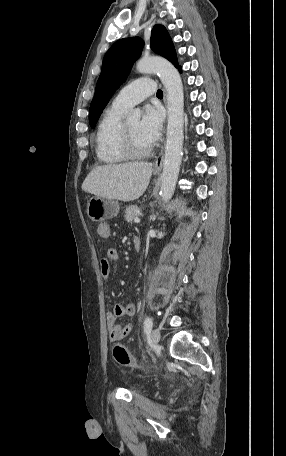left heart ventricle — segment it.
<instances>
[{
	"instance_id": "b2bd125f",
	"label": "left heart ventricle",
	"mask_w": 286,
	"mask_h": 456,
	"mask_svg": "<svg viewBox=\"0 0 286 456\" xmlns=\"http://www.w3.org/2000/svg\"><path fill=\"white\" fill-rule=\"evenodd\" d=\"M128 131L131 135L134 147L137 151H143L150 147L152 144L141 134L140 123L133 121L126 124Z\"/></svg>"
}]
</instances>
